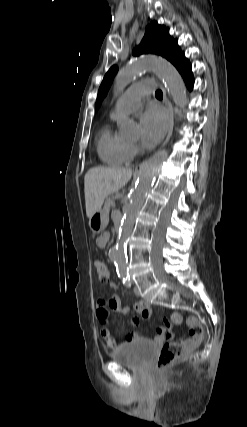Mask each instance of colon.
Listing matches in <instances>:
<instances>
[{"instance_id": "5ec220e1", "label": "colon", "mask_w": 247, "mask_h": 427, "mask_svg": "<svg viewBox=\"0 0 247 427\" xmlns=\"http://www.w3.org/2000/svg\"><path fill=\"white\" fill-rule=\"evenodd\" d=\"M94 267L102 282L109 280V269L104 261L97 260ZM190 337L183 342H167L163 345L156 359V370H163L176 361L182 359L190 351L195 350L201 343L203 328L193 317L187 319Z\"/></svg>"}]
</instances>
